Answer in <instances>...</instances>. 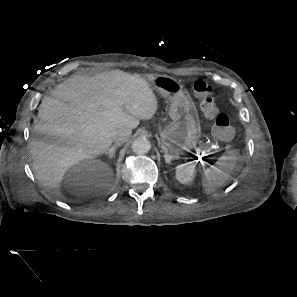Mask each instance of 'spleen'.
I'll list each match as a JSON object with an SVG mask.
<instances>
[{"mask_svg":"<svg viewBox=\"0 0 297 297\" xmlns=\"http://www.w3.org/2000/svg\"><path fill=\"white\" fill-rule=\"evenodd\" d=\"M236 156L229 151L219 158L215 165L204 169L202 186L205 194L209 195L223 186L230 178L235 167Z\"/></svg>","mask_w":297,"mask_h":297,"instance_id":"1","label":"spleen"}]
</instances>
